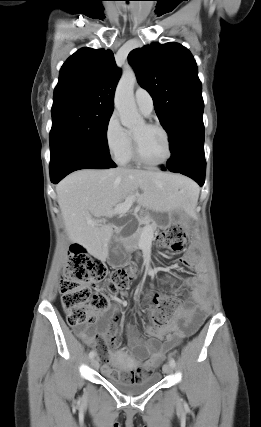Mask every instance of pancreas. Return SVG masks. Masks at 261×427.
<instances>
[{
  "label": "pancreas",
  "instance_id": "pancreas-1",
  "mask_svg": "<svg viewBox=\"0 0 261 427\" xmlns=\"http://www.w3.org/2000/svg\"><path fill=\"white\" fill-rule=\"evenodd\" d=\"M151 221H152V219L150 218V216H149V215H146V216H144V217H142V218H140V219H139V225L149 224ZM144 229H145V228H143V227H139V228H138V230H137V232H136V235H135V237H136L137 239H139V238H140V236H141V234L143 233ZM150 229H151V231H152V232H153V231H155V230H156V224L152 223V224L150 225Z\"/></svg>",
  "mask_w": 261,
  "mask_h": 427
}]
</instances>
